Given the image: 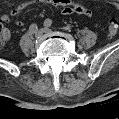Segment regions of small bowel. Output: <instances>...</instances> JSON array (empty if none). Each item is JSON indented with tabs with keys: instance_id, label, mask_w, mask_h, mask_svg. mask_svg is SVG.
I'll use <instances>...</instances> for the list:
<instances>
[{
	"instance_id": "c3829d8e",
	"label": "small bowel",
	"mask_w": 119,
	"mask_h": 119,
	"mask_svg": "<svg viewBox=\"0 0 119 119\" xmlns=\"http://www.w3.org/2000/svg\"><path fill=\"white\" fill-rule=\"evenodd\" d=\"M44 3L52 4L54 6L62 7V11L64 14H80L85 16H90L91 11L87 9L84 5L74 2L72 0H43ZM27 7V3H20L15 6L10 15H3L2 21L9 22L11 17H16L22 10ZM18 26H21L23 23L21 21H16ZM3 36L5 39L10 37V32L7 28L3 29Z\"/></svg>"
}]
</instances>
